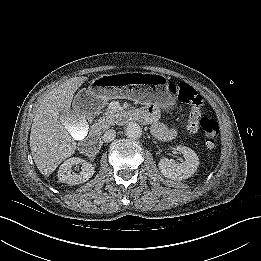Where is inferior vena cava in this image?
I'll list each match as a JSON object with an SVG mask.
<instances>
[{
    "mask_svg": "<svg viewBox=\"0 0 261 261\" xmlns=\"http://www.w3.org/2000/svg\"><path fill=\"white\" fill-rule=\"evenodd\" d=\"M116 137V131L113 129L107 130L103 136H102V140L104 142H111L112 140H114V138Z\"/></svg>",
    "mask_w": 261,
    "mask_h": 261,
    "instance_id": "obj_1",
    "label": "inferior vena cava"
}]
</instances>
